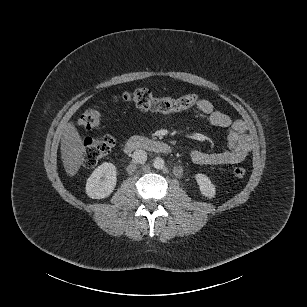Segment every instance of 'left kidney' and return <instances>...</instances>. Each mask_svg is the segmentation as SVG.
<instances>
[{
    "label": "left kidney",
    "instance_id": "1",
    "mask_svg": "<svg viewBox=\"0 0 307 307\" xmlns=\"http://www.w3.org/2000/svg\"><path fill=\"white\" fill-rule=\"evenodd\" d=\"M194 178L198 184L199 193L203 197L209 200H213L216 198L217 195L216 185L211 182V179L207 175L203 173H196L194 175Z\"/></svg>",
    "mask_w": 307,
    "mask_h": 307
}]
</instances>
